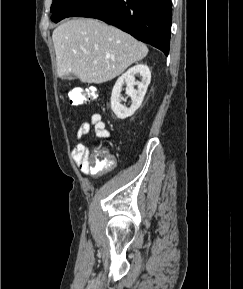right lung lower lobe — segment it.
Wrapping results in <instances>:
<instances>
[{"label":"right lung lower lobe","instance_id":"obj_1","mask_svg":"<svg viewBox=\"0 0 243 289\" xmlns=\"http://www.w3.org/2000/svg\"><path fill=\"white\" fill-rule=\"evenodd\" d=\"M73 16L100 19L169 53L171 0H85Z\"/></svg>","mask_w":243,"mask_h":289}]
</instances>
